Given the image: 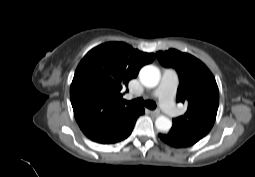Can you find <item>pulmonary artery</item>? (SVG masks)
<instances>
[{"instance_id":"pulmonary-artery-1","label":"pulmonary artery","mask_w":255,"mask_h":177,"mask_svg":"<svg viewBox=\"0 0 255 177\" xmlns=\"http://www.w3.org/2000/svg\"><path fill=\"white\" fill-rule=\"evenodd\" d=\"M177 90V78L170 69L163 71L161 82L154 92V96L159 99L160 107L169 116H176L177 109L174 105V96Z\"/></svg>"}]
</instances>
